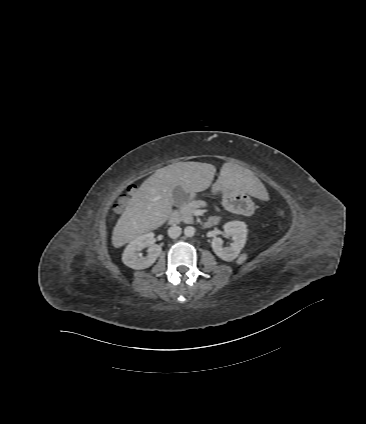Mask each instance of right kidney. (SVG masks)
<instances>
[{
	"label": "right kidney",
	"instance_id": "obj_1",
	"mask_svg": "<svg viewBox=\"0 0 366 424\" xmlns=\"http://www.w3.org/2000/svg\"><path fill=\"white\" fill-rule=\"evenodd\" d=\"M153 238L154 234L150 232L142 234L132 240L122 254L123 263L136 270L150 267L162 252L160 245L153 244ZM143 248H147L148 255L146 257H143L139 253Z\"/></svg>",
	"mask_w": 366,
	"mask_h": 424
}]
</instances>
